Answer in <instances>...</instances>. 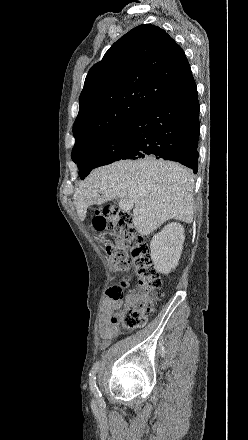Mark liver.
I'll use <instances>...</instances> for the list:
<instances>
[{
	"mask_svg": "<svg viewBox=\"0 0 248 440\" xmlns=\"http://www.w3.org/2000/svg\"><path fill=\"white\" fill-rule=\"evenodd\" d=\"M193 189L191 170L151 157L121 160L94 169L79 184L73 200L81 221L91 205H101L115 197L130 200L135 207L134 227L141 236H147L170 219L192 222Z\"/></svg>",
	"mask_w": 248,
	"mask_h": 440,
	"instance_id": "6515ba94",
	"label": "liver"
}]
</instances>
